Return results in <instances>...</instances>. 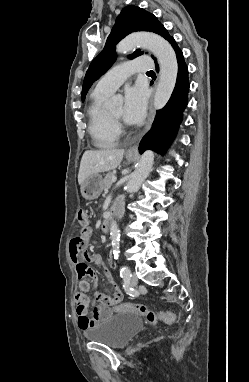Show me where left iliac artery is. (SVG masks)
Listing matches in <instances>:
<instances>
[{
	"label": "left iliac artery",
	"instance_id": "left-iliac-artery-1",
	"mask_svg": "<svg viewBox=\"0 0 249 382\" xmlns=\"http://www.w3.org/2000/svg\"><path fill=\"white\" fill-rule=\"evenodd\" d=\"M114 254H115V259H117V258H118V254H117V252H115ZM120 276H121L124 280L129 279V278L132 276L130 268L127 267V266H123V267L121 268V271H120Z\"/></svg>",
	"mask_w": 249,
	"mask_h": 382
}]
</instances>
